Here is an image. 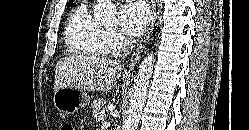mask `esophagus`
Returning a JSON list of instances; mask_svg holds the SVG:
<instances>
[{"mask_svg": "<svg viewBox=\"0 0 249 130\" xmlns=\"http://www.w3.org/2000/svg\"><path fill=\"white\" fill-rule=\"evenodd\" d=\"M155 21H156V5L154 2H151V22H150V25H149L144 37L139 42L134 53L131 56V59H130V61L127 65V69H126L127 73H131L133 71L137 61L139 60L143 49L145 48L146 44L148 43V41L150 39V36H151L153 28H154Z\"/></svg>", "mask_w": 249, "mask_h": 130, "instance_id": "esophagus-1", "label": "esophagus"}]
</instances>
